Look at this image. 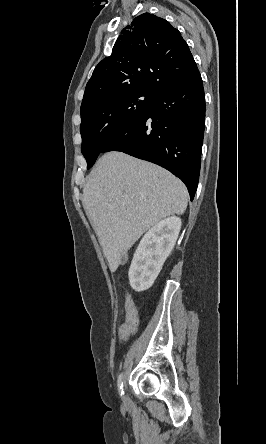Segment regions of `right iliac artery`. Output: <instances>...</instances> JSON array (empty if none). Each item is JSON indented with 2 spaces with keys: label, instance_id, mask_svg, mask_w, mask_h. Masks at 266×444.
<instances>
[{
  "label": "right iliac artery",
  "instance_id": "82829eb1",
  "mask_svg": "<svg viewBox=\"0 0 266 444\" xmlns=\"http://www.w3.org/2000/svg\"><path fill=\"white\" fill-rule=\"evenodd\" d=\"M117 385H118L119 394L122 396L124 394V391H123V375L122 374H120L119 377H118Z\"/></svg>",
  "mask_w": 266,
  "mask_h": 444
}]
</instances>
